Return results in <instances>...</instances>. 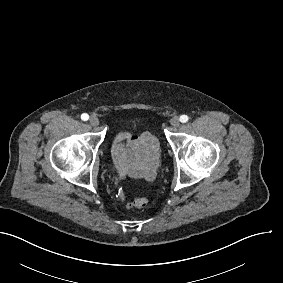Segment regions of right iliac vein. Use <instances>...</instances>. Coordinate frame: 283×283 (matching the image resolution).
<instances>
[{"label": "right iliac vein", "instance_id": "obj_1", "mask_svg": "<svg viewBox=\"0 0 283 283\" xmlns=\"http://www.w3.org/2000/svg\"><path fill=\"white\" fill-rule=\"evenodd\" d=\"M89 123H90L92 126H97V125H99V119H98V117H96V116H91L90 119H89Z\"/></svg>", "mask_w": 283, "mask_h": 283}]
</instances>
